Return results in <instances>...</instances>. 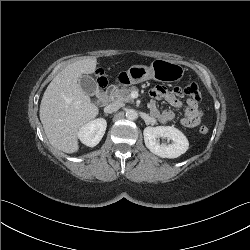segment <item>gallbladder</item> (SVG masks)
I'll return each instance as SVG.
<instances>
[{
	"label": "gallbladder",
	"instance_id": "gallbladder-1",
	"mask_svg": "<svg viewBox=\"0 0 250 250\" xmlns=\"http://www.w3.org/2000/svg\"><path fill=\"white\" fill-rule=\"evenodd\" d=\"M80 86L82 90L88 95H95L99 93V87L96 81L89 75H83L80 79Z\"/></svg>",
	"mask_w": 250,
	"mask_h": 250
}]
</instances>
